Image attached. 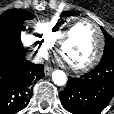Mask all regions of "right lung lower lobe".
<instances>
[{"instance_id":"obj_1","label":"right lung lower lobe","mask_w":114,"mask_h":114,"mask_svg":"<svg viewBox=\"0 0 114 114\" xmlns=\"http://www.w3.org/2000/svg\"><path fill=\"white\" fill-rule=\"evenodd\" d=\"M45 76L41 64L24 59V49L0 46V114L24 109L32 96V83Z\"/></svg>"}]
</instances>
